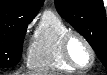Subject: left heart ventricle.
Masks as SVG:
<instances>
[{
    "label": "left heart ventricle",
    "mask_w": 107,
    "mask_h": 75,
    "mask_svg": "<svg viewBox=\"0 0 107 75\" xmlns=\"http://www.w3.org/2000/svg\"><path fill=\"white\" fill-rule=\"evenodd\" d=\"M73 60L79 65H88L91 59L90 52L86 45L78 38H73L69 46Z\"/></svg>",
    "instance_id": "left-heart-ventricle-1"
}]
</instances>
